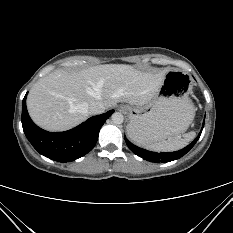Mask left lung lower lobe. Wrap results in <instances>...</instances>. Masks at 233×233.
<instances>
[{
    "instance_id": "obj_1",
    "label": "left lung lower lobe",
    "mask_w": 233,
    "mask_h": 233,
    "mask_svg": "<svg viewBox=\"0 0 233 233\" xmlns=\"http://www.w3.org/2000/svg\"><path fill=\"white\" fill-rule=\"evenodd\" d=\"M204 127V123L202 126V129ZM202 129L199 133V135L195 138V140L190 143L187 147L176 151V152H170V153H157V152H151L145 149H142L140 147L135 146L134 144H132L129 140H126V144L129 147V149L136 154L137 156L150 161V162H155V163H159V162H170L176 159L181 158L182 156H184L197 142V140L199 139Z\"/></svg>"
}]
</instances>
